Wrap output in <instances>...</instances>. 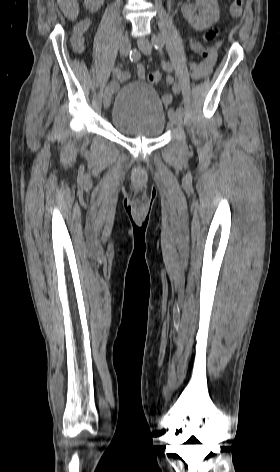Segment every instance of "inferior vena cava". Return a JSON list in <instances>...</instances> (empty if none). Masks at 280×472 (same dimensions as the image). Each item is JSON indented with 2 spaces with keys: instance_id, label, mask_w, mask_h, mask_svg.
<instances>
[{
  "instance_id": "602c4592",
  "label": "inferior vena cava",
  "mask_w": 280,
  "mask_h": 472,
  "mask_svg": "<svg viewBox=\"0 0 280 472\" xmlns=\"http://www.w3.org/2000/svg\"><path fill=\"white\" fill-rule=\"evenodd\" d=\"M117 4H118V5L120 4V0H117Z\"/></svg>"
}]
</instances>
